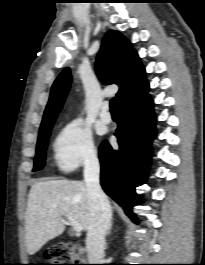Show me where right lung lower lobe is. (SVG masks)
<instances>
[{
  "instance_id": "1",
  "label": "right lung lower lobe",
  "mask_w": 205,
  "mask_h": 265,
  "mask_svg": "<svg viewBox=\"0 0 205 265\" xmlns=\"http://www.w3.org/2000/svg\"><path fill=\"white\" fill-rule=\"evenodd\" d=\"M155 121L153 102L147 94L139 102L120 110L115 132L119 149H113L107 141L100 145L101 185L134 221L137 219L132 208L139 200L135 188L147 179Z\"/></svg>"
}]
</instances>
